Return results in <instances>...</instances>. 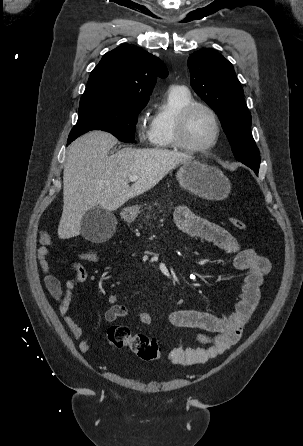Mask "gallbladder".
<instances>
[{"label": "gallbladder", "mask_w": 303, "mask_h": 446, "mask_svg": "<svg viewBox=\"0 0 303 446\" xmlns=\"http://www.w3.org/2000/svg\"><path fill=\"white\" fill-rule=\"evenodd\" d=\"M116 224V218L110 211L97 206L82 218L80 232L89 241L102 242L113 235Z\"/></svg>", "instance_id": "1"}]
</instances>
